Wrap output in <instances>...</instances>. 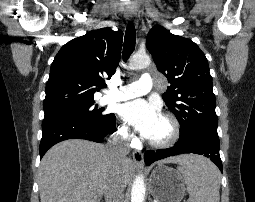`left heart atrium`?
Instances as JSON below:
<instances>
[{"mask_svg":"<svg viewBox=\"0 0 255 202\" xmlns=\"http://www.w3.org/2000/svg\"><path fill=\"white\" fill-rule=\"evenodd\" d=\"M120 116L143 137L148 138L160 119V111L154 103L137 99L120 107Z\"/></svg>","mask_w":255,"mask_h":202,"instance_id":"left-heart-atrium-1","label":"left heart atrium"}]
</instances>
